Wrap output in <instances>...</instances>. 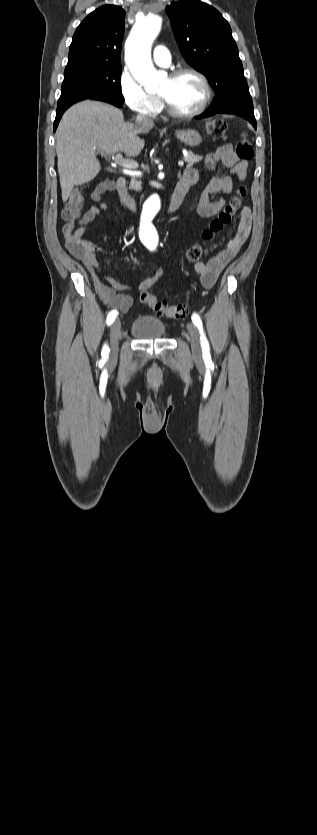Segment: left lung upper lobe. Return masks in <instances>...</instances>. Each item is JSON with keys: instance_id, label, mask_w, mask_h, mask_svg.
<instances>
[{"instance_id": "left-lung-upper-lobe-1", "label": "left lung upper lobe", "mask_w": 317, "mask_h": 835, "mask_svg": "<svg viewBox=\"0 0 317 835\" xmlns=\"http://www.w3.org/2000/svg\"><path fill=\"white\" fill-rule=\"evenodd\" d=\"M166 11L181 54L215 91L211 107L241 104L253 108L238 48L222 15L196 0L174 2Z\"/></svg>"}]
</instances>
